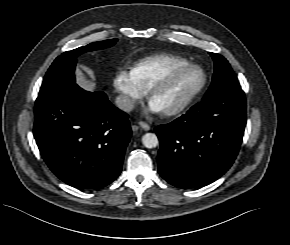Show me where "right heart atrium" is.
I'll return each instance as SVG.
<instances>
[{
	"label": "right heart atrium",
	"mask_w": 290,
	"mask_h": 245,
	"mask_svg": "<svg viewBox=\"0 0 290 245\" xmlns=\"http://www.w3.org/2000/svg\"><path fill=\"white\" fill-rule=\"evenodd\" d=\"M113 86L119 96V105L124 111L133 110L146 92L138 85L131 70L126 69H119L115 73Z\"/></svg>",
	"instance_id": "obj_1"
}]
</instances>
